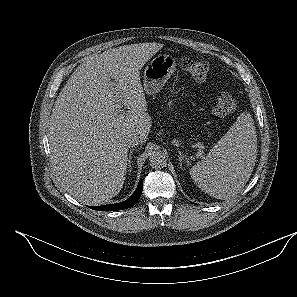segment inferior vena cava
I'll list each match as a JSON object with an SVG mask.
<instances>
[{
  "instance_id": "1",
  "label": "inferior vena cava",
  "mask_w": 297,
  "mask_h": 297,
  "mask_svg": "<svg viewBox=\"0 0 297 297\" xmlns=\"http://www.w3.org/2000/svg\"><path fill=\"white\" fill-rule=\"evenodd\" d=\"M141 138L140 136L136 135V134H130L125 138V145L127 147H135L139 144H141Z\"/></svg>"
}]
</instances>
